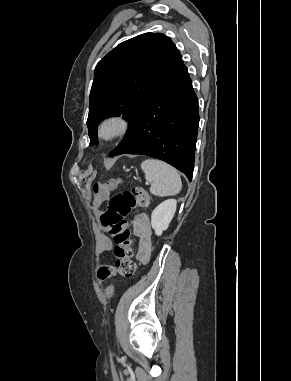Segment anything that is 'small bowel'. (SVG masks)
Returning <instances> with one entry per match:
<instances>
[{
	"label": "small bowel",
	"instance_id": "1",
	"mask_svg": "<svg viewBox=\"0 0 291 381\" xmlns=\"http://www.w3.org/2000/svg\"><path fill=\"white\" fill-rule=\"evenodd\" d=\"M135 234L139 238V258L146 260L151 249V226L146 214L138 215L134 220ZM112 248L111 240L107 237L101 239V250L108 252Z\"/></svg>",
	"mask_w": 291,
	"mask_h": 381
}]
</instances>
